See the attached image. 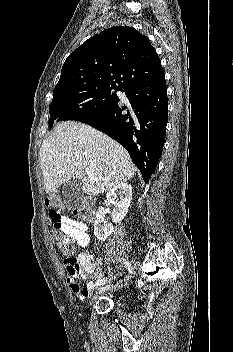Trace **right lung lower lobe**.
Segmentation results:
<instances>
[{
	"mask_svg": "<svg viewBox=\"0 0 233 352\" xmlns=\"http://www.w3.org/2000/svg\"><path fill=\"white\" fill-rule=\"evenodd\" d=\"M131 110L118 100L106 109L79 119L119 142L147 183L165 142L168 99L165 76L124 89Z\"/></svg>",
	"mask_w": 233,
	"mask_h": 352,
	"instance_id": "obj_1",
	"label": "right lung lower lobe"
}]
</instances>
